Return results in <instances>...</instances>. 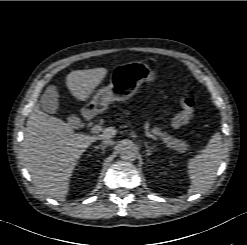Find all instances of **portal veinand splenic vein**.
Masks as SVG:
<instances>
[{"instance_id":"portal-vein-and-splenic-vein-1","label":"portal vein and splenic vein","mask_w":247,"mask_h":245,"mask_svg":"<svg viewBox=\"0 0 247 245\" xmlns=\"http://www.w3.org/2000/svg\"><path fill=\"white\" fill-rule=\"evenodd\" d=\"M102 131V127L100 125H95L91 128V133L92 134H97L99 132ZM146 136L149 137V138H152L153 140L155 141H160L159 138H157L156 136L150 134L149 132H146Z\"/></svg>"}]
</instances>
